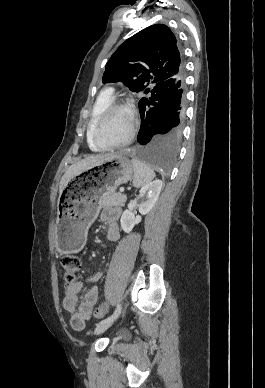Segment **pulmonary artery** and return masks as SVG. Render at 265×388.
I'll return each mask as SVG.
<instances>
[{
    "label": "pulmonary artery",
    "mask_w": 265,
    "mask_h": 388,
    "mask_svg": "<svg viewBox=\"0 0 265 388\" xmlns=\"http://www.w3.org/2000/svg\"><path fill=\"white\" fill-rule=\"evenodd\" d=\"M114 88L115 86L113 85H111L110 83H105L104 85H103V88L105 89V90H110L111 88Z\"/></svg>",
    "instance_id": "1"
}]
</instances>
